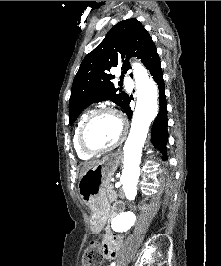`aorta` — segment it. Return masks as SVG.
Returning a JSON list of instances; mask_svg holds the SVG:
<instances>
[{"instance_id": "aorta-1", "label": "aorta", "mask_w": 221, "mask_h": 266, "mask_svg": "<svg viewBox=\"0 0 221 266\" xmlns=\"http://www.w3.org/2000/svg\"><path fill=\"white\" fill-rule=\"evenodd\" d=\"M133 75L136 83L137 102L132 118L131 129L124 144V170L121 183L125 196L134 200L140 176L142 148L145 144L151 122L158 111V88L148 71L140 63H133ZM135 221L131 212H123L112 221L114 231L128 230Z\"/></svg>"}]
</instances>
